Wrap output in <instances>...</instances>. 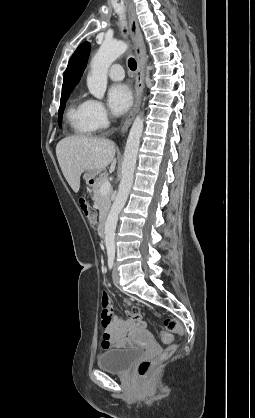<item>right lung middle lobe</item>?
I'll use <instances>...</instances> for the list:
<instances>
[{
  "label": "right lung middle lobe",
  "instance_id": "right-lung-middle-lobe-1",
  "mask_svg": "<svg viewBox=\"0 0 255 418\" xmlns=\"http://www.w3.org/2000/svg\"><path fill=\"white\" fill-rule=\"evenodd\" d=\"M72 92V90H67L62 92V96H61V103H60V108H59V112H58V124L61 127V123H62V115H63V111L65 108V102L67 100V98L69 97L70 93Z\"/></svg>",
  "mask_w": 255,
  "mask_h": 418
}]
</instances>
